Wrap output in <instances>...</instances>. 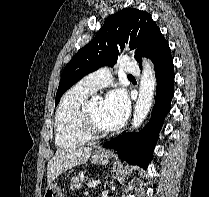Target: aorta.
<instances>
[{
	"mask_svg": "<svg viewBox=\"0 0 209 197\" xmlns=\"http://www.w3.org/2000/svg\"><path fill=\"white\" fill-rule=\"evenodd\" d=\"M156 88V77L153 64L148 59H143V71L139 86V96L135 105L132 126L137 129L141 126L148 115L154 98Z\"/></svg>",
	"mask_w": 209,
	"mask_h": 197,
	"instance_id": "obj_1",
	"label": "aorta"
}]
</instances>
